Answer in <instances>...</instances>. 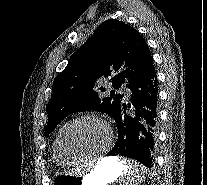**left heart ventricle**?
<instances>
[{"instance_id":"b2bd125f","label":"left heart ventricle","mask_w":207,"mask_h":185,"mask_svg":"<svg viewBox=\"0 0 207 185\" xmlns=\"http://www.w3.org/2000/svg\"><path fill=\"white\" fill-rule=\"evenodd\" d=\"M111 140L108 127L97 120L78 123L70 134V145L77 153H96L104 150Z\"/></svg>"}]
</instances>
